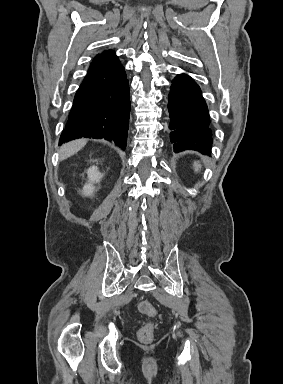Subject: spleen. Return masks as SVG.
I'll return each mask as SVG.
<instances>
[{"mask_svg": "<svg viewBox=\"0 0 283 384\" xmlns=\"http://www.w3.org/2000/svg\"><path fill=\"white\" fill-rule=\"evenodd\" d=\"M193 168H194L195 172H198L199 168H201L199 162H194Z\"/></svg>", "mask_w": 283, "mask_h": 384, "instance_id": "1", "label": "spleen"}]
</instances>
